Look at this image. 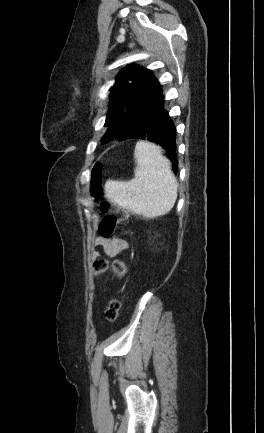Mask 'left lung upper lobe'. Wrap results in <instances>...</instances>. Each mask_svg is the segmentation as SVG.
I'll list each match as a JSON object with an SVG mask.
<instances>
[{"mask_svg":"<svg viewBox=\"0 0 264 433\" xmlns=\"http://www.w3.org/2000/svg\"><path fill=\"white\" fill-rule=\"evenodd\" d=\"M156 81L150 70L139 65H129L123 68L111 87L110 108L105 125L108 126L103 141L108 142L114 137L119 140L128 139L127 130L122 127L120 120L135 101Z\"/></svg>","mask_w":264,"mask_h":433,"instance_id":"left-lung-upper-lobe-1","label":"left lung upper lobe"}]
</instances>
